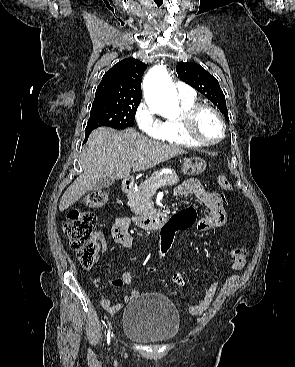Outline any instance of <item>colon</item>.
Returning <instances> with one entry per match:
<instances>
[{"label":"colon","mask_w":295,"mask_h":367,"mask_svg":"<svg viewBox=\"0 0 295 367\" xmlns=\"http://www.w3.org/2000/svg\"><path fill=\"white\" fill-rule=\"evenodd\" d=\"M218 186L224 191L231 190V184L225 175H219L216 179ZM213 196L219 195L218 189L212 190ZM108 199V193L103 190L94 191L84 198L87 206L92 208L103 207ZM220 200L224 206L229 204L227 195L222 193ZM195 221L194 208L188 203L183 211L175 219H167L165 224L160 226L158 237V256L162 257L175 244V237L178 231H186ZM97 220L94 214L79 209H71L64 220L63 230L68 238L71 248L77 253L81 265L85 268H91L97 259L99 250L98 243L93 238V230ZM233 262L243 264L246 259V250L244 248H235L232 250ZM150 271L153 268L149 269Z\"/></svg>","instance_id":"1"}]
</instances>
